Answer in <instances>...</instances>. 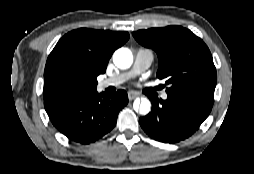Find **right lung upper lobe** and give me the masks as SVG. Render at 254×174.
I'll return each instance as SVG.
<instances>
[{"mask_svg":"<svg viewBox=\"0 0 254 174\" xmlns=\"http://www.w3.org/2000/svg\"><path fill=\"white\" fill-rule=\"evenodd\" d=\"M128 39V32L86 28L65 34L48 56L44 84L60 70H71L96 79L106 71L113 52Z\"/></svg>","mask_w":254,"mask_h":174,"instance_id":"right-lung-upper-lobe-1","label":"right lung upper lobe"}]
</instances>
